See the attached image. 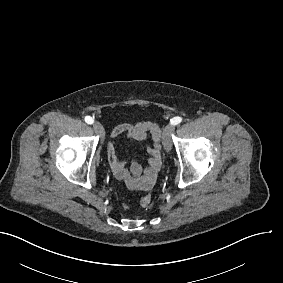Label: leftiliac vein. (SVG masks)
I'll list each match as a JSON object with an SVG mask.
<instances>
[{
	"label": "left iliac vein",
	"instance_id": "left-iliac-vein-1",
	"mask_svg": "<svg viewBox=\"0 0 283 283\" xmlns=\"http://www.w3.org/2000/svg\"><path fill=\"white\" fill-rule=\"evenodd\" d=\"M175 128L172 124L166 125L162 133V143L166 152H169L172 148L171 134L174 132Z\"/></svg>",
	"mask_w": 283,
	"mask_h": 283
}]
</instances>
